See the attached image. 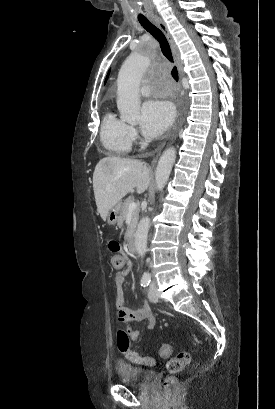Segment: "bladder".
I'll use <instances>...</instances> for the list:
<instances>
[{
	"mask_svg": "<svg viewBox=\"0 0 275 409\" xmlns=\"http://www.w3.org/2000/svg\"><path fill=\"white\" fill-rule=\"evenodd\" d=\"M157 376L156 371L127 362L118 363L116 368V377L120 384L132 385L133 387H148Z\"/></svg>",
	"mask_w": 275,
	"mask_h": 409,
	"instance_id": "bladder-1",
	"label": "bladder"
}]
</instances>
